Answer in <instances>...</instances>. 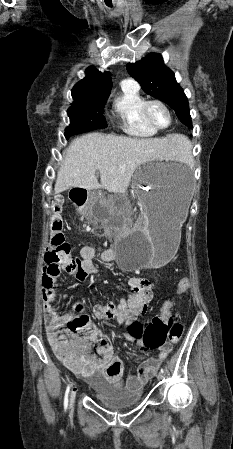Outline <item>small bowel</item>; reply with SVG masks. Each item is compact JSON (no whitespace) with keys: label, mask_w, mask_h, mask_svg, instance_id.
<instances>
[{"label":"small bowel","mask_w":233,"mask_h":449,"mask_svg":"<svg viewBox=\"0 0 233 449\" xmlns=\"http://www.w3.org/2000/svg\"><path fill=\"white\" fill-rule=\"evenodd\" d=\"M114 258L115 255L112 250L98 252L90 246H83L79 251V257L76 259L75 266H63L56 263L46 264L43 268L41 286L42 295L47 306L56 300L55 286L63 269L82 282L89 276L98 273L96 262H111ZM128 285L133 291L132 295L121 297L117 303L109 301L106 305L96 304L94 306V314L98 319H113L118 323L124 324L129 329L132 325H138V316L146 310L147 305L153 298L152 284L149 278H145L143 274H138L136 278L128 280ZM125 339L132 342L131 338L125 337ZM68 344L70 345L69 342ZM168 351L169 349L162 348L157 358H147L136 374L127 377L126 384L130 387H136L146 383L155 374L167 356ZM73 353L78 359L83 361L81 367L77 369L80 374L86 377L105 375L107 380L114 384H119L123 381V365L118 358L114 357L112 347L103 357V360L108 362L107 365L98 361L96 356L91 354L90 351L81 352L79 350Z\"/></svg>","instance_id":"1"}]
</instances>
